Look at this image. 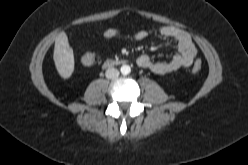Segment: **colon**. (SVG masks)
<instances>
[{
    "label": "colon",
    "mask_w": 248,
    "mask_h": 165,
    "mask_svg": "<svg viewBox=\"0 0 248 165\" xmlns=\"http://www.w3.org/2000/svg\"><path fill=\"white\" fill-rule=\"evenodd\" d=\"M82 63L85 65H91L95 61V54L92 52H86L83 54L82 58ZM202 68V62L200 60H197L194 65H193V72H199Z\"/></svg>",
    "instance_id": "obj_1"
}]
</instances>
